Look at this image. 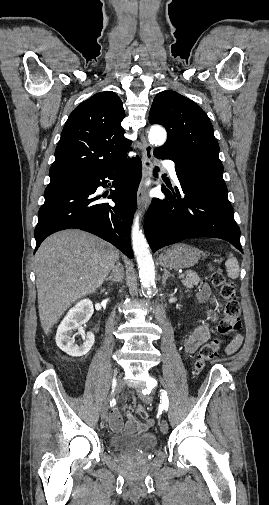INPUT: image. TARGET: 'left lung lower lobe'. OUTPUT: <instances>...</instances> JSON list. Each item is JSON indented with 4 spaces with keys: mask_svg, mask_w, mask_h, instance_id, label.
Segmentation results:
<instances>
[{
    "mask_svg": "<svg viewBox=\"0 0 269 505\" xmlns=\"http://www.w3.org/2000/svg\"><path fill=\"white\" fill-rule=\"evenodd\" d=\"M154 155L175 162L180 185L171 191L163 185L166 199L154 198L149 207L144 229L152 251L192 237H213L243 252L223 170L190 157Z\"/></svg>",
    "mask_w": 269,
    "mask_h": 505,
    "instance_id": "obj_1",
    "label": "left lung lower lobe"
}]
</instances>
